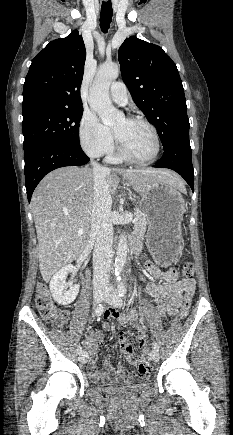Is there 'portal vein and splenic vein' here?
Wrapping results in <instances>:
<instances>
[{
	"label": "portal vein and splenic vein",
	"instance_id": "18ae733b",
	"mask_svg": "<svg viewBox=\"0 0 233 435\" xmlns=\"http://www.w3.org/2000/svg\"><path fill=\"white\" fill-rule=\"evenodd\" d=\"M137 221H138V218H134V219L132 220V223H136ZM78 234H79V235L83 234V229H80V230L78 231Z\"/></svg>",
	"mask_w": 233,
	"mask_h": 435
}]
</instances>
